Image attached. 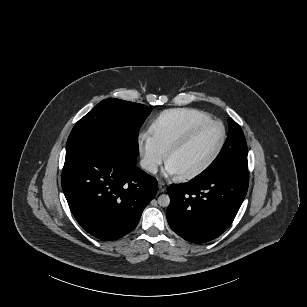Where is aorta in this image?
I'll return each mask as SVG.
<instances>
[{
	"mask_svg": "<svg viewBox=\"0 0 307 307\" xmlns=\"http://www.w3.org/2000/svg\"><path fill=\"white\" fill-rule=\"evenodd\" d=\"M169 203H170V198L168 195L162 194L158 197V204L160 206L166 207L169 205Z\"/></svg>",
	"mask_w": 307,
	"mask_h": 307,
	"instance_id": "762f6f07",
	"label": "aorta"
}]
</instances>
